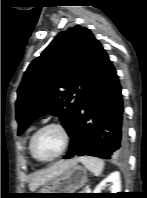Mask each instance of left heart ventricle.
<instances>
[{"label": "left heart ventricle", "instance_id": "obj_1", "mask_svg": "<svg viewBox=\"0 0 147 198\" xmlns=\"http://www.w3.org/2000/svg\"><path fill=\"white\" fill-rule=\"evenodd\" d=\"M63 145V138L56 128L41 131L34 140V151L42 159H47L57 154Z\"/></svg>", "mask_w": 147, "mask_h": 198}]
</instances>
